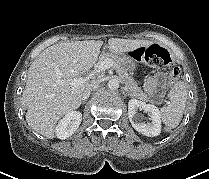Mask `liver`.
<instances>
[{
  "label": "liver",
  "mask_w": 209,
  "mask_h": 179,
  "mask_svg": "<svg viewBox=\"0 0 209 179\" xmlns=\"http://www.w3.org/2000/svg\"><path fill=\"white\" fill-rule=\"evenodd\" d=\"M150 41L110 38L112 54H122ZM103 41L63 42L43 50L28 70V79L22 94L27 108L26 121L37 133L54 138L60 118L80 107L82 95L91 81L73 87L69 82L89 71L97 62Z\"/></svg>",
  "instance_id": "6515ba94"
}]
</instances>
